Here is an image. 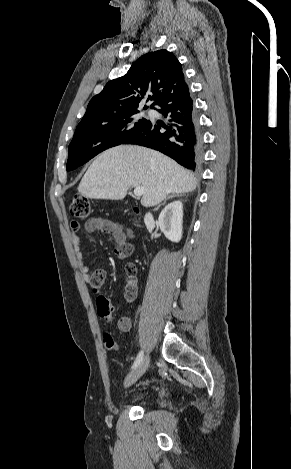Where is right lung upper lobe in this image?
I'll use <instances>...</instances> for the list:
<instances>
[{"instance_id": "right-lung-upper-lobe-1", "label": "right lung upper lobe", "mask_w": 291, "mask_h": 469, "mask_svg": "<svg viewBox=\"0 0 291 469\" xmlns=\"http://www.w3.org/2000/svg\"><path fill=\"white\" fill-rule=\"evenodd\" d=\"M185 86L182 65L171 52L162 49L147 53L132 64L127 74L109 81L91 99L81 121L137 110L150 93L158 105L170 93ZM149 99L152 97L148 96Z\"/></svg>"}]
</instances>
